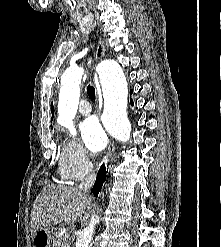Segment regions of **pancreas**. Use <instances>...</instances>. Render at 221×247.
I'll list each match as a JSON object with an SVG mask.
<instances>
[{
  "label": "pancreas",
  "instance_id": "obj_1",
  "mask_svg": "<svg viewBox=\"0 0 221 247\" xmlns=\"http://www.w3.org/2000/svg\"><path fill=\"white\" fill-rule=\"evenodd\" d=\"M54 239H53V247H70V242L68 238L62 236H58V231L53 233Z\"/></svg>",
  "mask_w": 221,
  "mask_h": 247
}]
</instances>
